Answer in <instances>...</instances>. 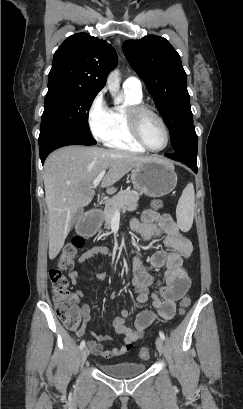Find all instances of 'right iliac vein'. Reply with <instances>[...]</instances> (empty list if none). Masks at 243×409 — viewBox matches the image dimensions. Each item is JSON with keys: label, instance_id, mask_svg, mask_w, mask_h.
I'll return each instance as SVG.
<instances>
[{"label": "right iliac vein", "instance_id": "63e3f726", "mask_svg": "<svg viewBox=\"0 0 243 409\" xmlns=\"http://www.w3.org/2000/svg\"><path fill=\"white\" fill-rule=\"evenodd\" d=\"M88 349L87 348H83V350L81 351V363L84 364L85 361L87 360L88 357Z\"/></svg>", "mask_w": 243, "mask_h": 409}]
</instances>
